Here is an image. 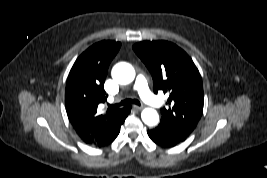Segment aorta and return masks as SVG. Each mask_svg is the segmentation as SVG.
Listing matches in <instances>:
<instances>
[{
  "mask_svg": "<svg viewBox=\"0 0 267 178\" xmlns=\"http://www.w3.org/2000/svg\"><path fill=\"white\" fill-rule=\"evenodd\" d=\"M112 78L119 84H129L135 78V70L129 63H117L112 69ZM141 118L148 126H155L159 122V115L157 111L152 108H145L141 112Z\"/></svg>",
  "mask_w": 267,
  "mask_h": 178,
  "instance_id": "obj_1",
  "label": "aorta"
}]
</instances>
